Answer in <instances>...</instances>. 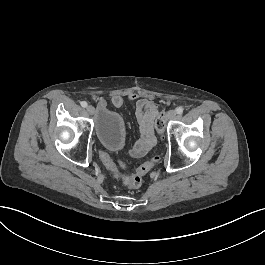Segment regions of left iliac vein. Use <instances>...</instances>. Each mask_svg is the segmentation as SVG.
Masks as SVG:
<instances>
[{
    "instance_id": "obj_1",
    "label": "left iliac vein",
    "mask_w": 265,
    "mask_h": 265,
    "mask_svg": "<svg viewBox=\"0 0 265 265\" xmlns=\"http://www.w3.org/2000/svg\"><path fill=\"white\" fill-rule=\"evenodd\" d=\"M177 116L175 110H169L166 114V117L164 119L165 122L169 121V120H173L175 119Z\"/></svg>"
}]
</instances>
